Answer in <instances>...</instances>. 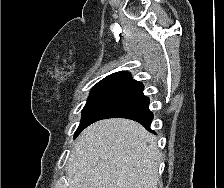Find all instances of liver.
I'll use <instances>...</instances> for the list:
<instances>
[{
	"label": "liver",
	"instance_id": "1",
	"mask_svg": "<svg viewBox=\"0 0 224 188\" xmlns=\"http://www.w3.org/2000/svg\"><path fill=\"white\" fill-rule=\"evenodd\" d=\"M160 153L156 138L129 119L87 127L68 161L70 188H157Z\"/></svg>",
	"mask_w": 224,
	"mask_h": 188
}]
</instances>
